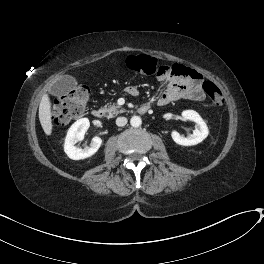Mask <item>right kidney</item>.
I'll return each mask as SVG.
<instances>
[{
	"mask_svg": "<svg viewBox=\"0 0 264 264\" xmlns=\"http://www.w3.org/2000/svg\"><path fill=\"white\" fill-rule=\"evenodd\" d=\"M90 126L88 118L77 120L68 130L64 144V151L70 159L81 160L95 154L102 144L98 136L92 138L90 147L77 148L75 144L84 139V135Z\"/></svg>",
	"mask_w": 264,
	"mask_h": 264,
	"instance_id": "obj_1",
	"label": "right kidney"
}]
</instances>
